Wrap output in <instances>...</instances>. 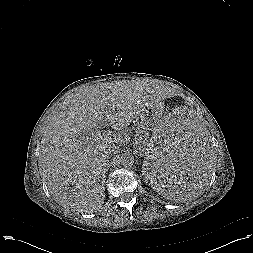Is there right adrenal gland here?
Instances as JSON below:
<instances>
[{
  "label": "right adrenal gland",
  "mask_w": 253,
  "mask_h": 253,
  "mask_svg": "<svg viewBox=\"0 0 253 253\" xmlns=\"http://www.w3.org/2000/svg\"><path fill=\"white\" fill-rule=\"evenodd\" d=\"M105 165H106V166H105V167H106L105 172H107L108 169H109V167H110V162H109V160L106 161Z\"/></svg>",
  "instance_id": "2a0ac1e0"
}]
</instances>
